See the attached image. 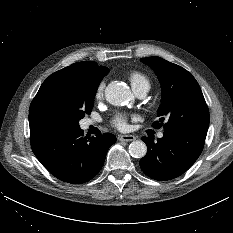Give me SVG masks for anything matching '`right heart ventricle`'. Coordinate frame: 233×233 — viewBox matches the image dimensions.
I'll return each instance as SVG.
<instances>
[{
    "label": "right heart ventricle",
    "instance_id": "obj_1",
    "mask_svg": "<svg viewBox=\"0 0 233 233\" xmlns=\"http://www.w3.org/2000/svg\"><path fill=\"white\" fill-rule=\"evenodd\" d=\"M129 80L134 90L142 86L150 87L149 79L141 72L138 71L131 72L129 74Z\"/></svg>",
    "mask_w": 233,
    "mask_h": 233
}]
</instances>
